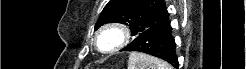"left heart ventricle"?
Returning <instances> with one entry per match:
<instances>
[{
	"label": "left heart ventricle",
	"mask_w": 246,
	"mask_h": 69,
	"mask_svg": "<svg viewBox=\"0 0 246 69\" xmlns=\"http://www.w3.org/2000/svg\"><path fill=\"white\" fill-rule=\"evenodd\" d=\"M99 40H100L101 47L104 48L105 43L114 42L115 40H117V36L114 33L108 32L103 34Z\"/></svg>",
	"instance_id": "1"
}]
</instances>
